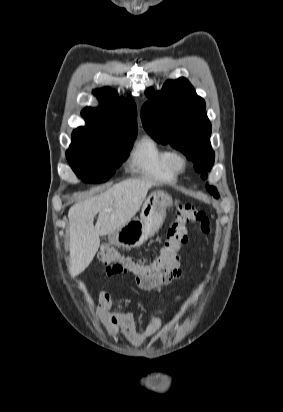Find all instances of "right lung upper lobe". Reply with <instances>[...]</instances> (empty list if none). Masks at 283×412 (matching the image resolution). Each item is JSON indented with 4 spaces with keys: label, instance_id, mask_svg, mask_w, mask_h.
Wrapping results in <instances>:
<instances>
[{
    "label": "right lung upper lobe",
    "instance_id": "1",
    "mask_svg": "<svg viewBox=\"0 0 283 412\" xmlns=\"http://www.w3.org/2000/svg\"><path fill=\"white\" fill-rule=\"evenodd\" d=\"M101 106L85 108L82 116L85 127L76 131L98 137L124 136L137 132L136 105L131 98H117L118 94L110 88L95 90Z\"/></svg>",
    "mask_w": 283,
    "mask_h": 412
}]
</instances>
